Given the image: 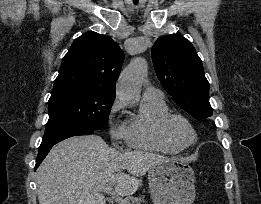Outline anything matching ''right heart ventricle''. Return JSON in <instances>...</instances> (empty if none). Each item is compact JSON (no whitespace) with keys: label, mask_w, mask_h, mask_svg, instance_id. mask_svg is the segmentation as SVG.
Instances as JSON below:
<instances>
[{"label":"right heart ventricle","mask_w":261,"mask_h":204,"mask_svg":"<svg viewBox=\"0 0 261 204\" xmlns=\"http://www.w3.org/2000/svg\"><path fill=\"white\" fill-rule=\"evenodd\" d=\"M170 113L163 98H143L139 112L129 119L126 128V142L132 149L173 154L179 151L162 135L160 124Z\"/></svg>","instance_id":"e07e8e85"}]
</instances>
